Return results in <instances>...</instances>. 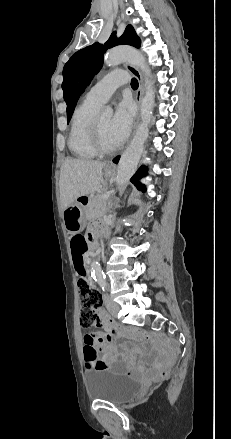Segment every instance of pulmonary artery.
Returning a JSON list of instances; mask_svg holds the SVG:
<instances>
[{"label": "pulmonary artery", "instance_id": "obj_1", "mask_svg": "<svg viewBox=\"0 0 231 439\" xmlns=\"http://www.w3.org/2000/svg\"><path fill=\"white\" fill-rule=\"evenodd\" d=\"M128 74L117 70L110 72L97 82L86 94V99L99 105L105 103L114 91L128 82Z\"/></svg>", "mask_w": 231, "mask_h": 439}]
</instances>
